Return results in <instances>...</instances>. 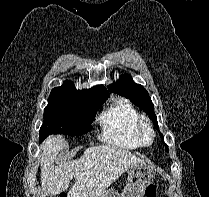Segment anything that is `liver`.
<instances>
[{"label":"liver","instance_id":"obj_1","mask_svg":"<svg viewBox=\"0 0 209 197\" xmlns=\"http://www.w3.org/2000/svg\"><path fill=\"white\" fill-rule=\"evenodd\" d=\"M67 146L58 135L49 136L41 145V195H56L67 190L70 180L75 179L68 197H98L127 169L144 162L130 152L113 145L93 146L86 149L77 160L54 161Z\"/></svg>","mask_w":209,"mask_h":197}]
</instances>
